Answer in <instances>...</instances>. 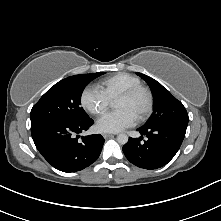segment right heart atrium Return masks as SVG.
<instances>
[{
  "label": "right heart atrium",
  "mask_w": 221,
  "mask_h": 221,
  "mask_svg": "<svg viewBox=\"0 0 221 221\" xmlns=\"http://www.w3.org/2000/svg\"><path fill=\"white\" fill-rule=\"evenodd\" d=\"M81 106L93 115L105 113L110 105V99L98 88L87 86L80 96Z\"/></svg>",
  "instance_id": "right-heart-atrium-1"
}]
</instances>
